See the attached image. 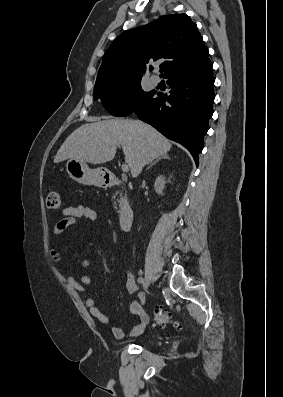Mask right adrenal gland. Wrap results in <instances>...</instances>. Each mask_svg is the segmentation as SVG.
<instances>
[{
    "label": "right adrenal gland",
    "instance_id": "right-adrenal-gland-1",
    "mask_svg": "<svg viewBox=\"0 0 283 397\" xmlns=\"http://www.w3.org/2000/svg\"><path fill=\"white\" fill-rule=\"evenodd\" d=\"M161 159H170V157L168 156V154H164V155L158 157L154 162H152V163L147 167V170H148L150 167H152L153 165H155V164H156L159 160H161Z\"/></svg>",
    "mask_w": 283,
    "mask_h": 397
}]
</instances>
